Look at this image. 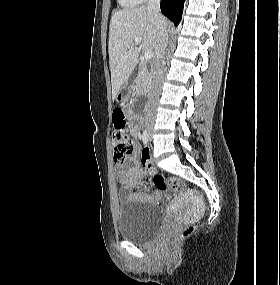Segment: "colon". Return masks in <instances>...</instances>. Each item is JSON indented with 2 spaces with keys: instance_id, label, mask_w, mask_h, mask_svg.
Listing matches in <instances>:
<instances>
[{
  "instance_id": "5ec220e1",
  "label": "colon",
  "mask_w": 280,
  "mask_h": 285,
  "mask_svg": "<svg viewBox=\"0 0 280 285\" xmlns=\"http://www.w3.org/2000/svg\"><path fill=\"white\" fill-rule=\"evenodd\" d=\"M126 118L124 111L121 108H117L113 113V146H114V158L117 163H123L127 154L132 152L135 148L134 142L131 137L124 131ZM150 159L149 151L143 150L141 160L144 161ZM154 183L160 189H171L173 191H180L183 188V182L176 178H166L163 175L156 174L154 176ZM193 226L185 227L178 235L170 239L171 244L189 237L194 233Z\"/></svg>"
}]
</instances>
